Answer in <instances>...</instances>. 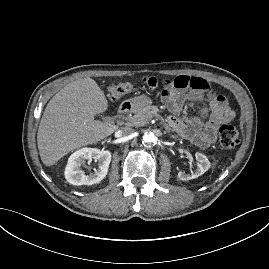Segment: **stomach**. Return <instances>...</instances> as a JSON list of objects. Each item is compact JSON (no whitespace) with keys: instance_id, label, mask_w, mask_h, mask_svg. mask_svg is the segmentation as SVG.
<instances>
[{"instance_id":"obj_1","label":"stomach","mask_w":269,"mask_h":269,"mask_svg":"<svg viewBox=\"0 0 269 269\" xmlns=\"http://www.w3.org/2000/svg\"><path fill=\"white\" fill-rule=\"evenodd\" d=\"M132 102L139 105L140 107L148 106L152 103L151 99L148 97H140L132 100Z\"/></svg>"}]
</instances>
